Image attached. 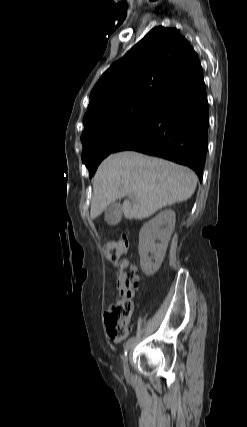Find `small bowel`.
Here are the masks:
<instances>
[{
	"label": "small bowel",
	"mask_w": 247,
	"mask_h": 427,
	"mask_svg": "<svg viewBox=\"0 0 247 427\" xmlns=\"http://www.w3.org/2000/svg\"><path fill=\"white\" fill-rule=\"evenodd\" d=\"M130 262L128 259H123L117 266V282L116 289L119 297H132L134 294V288L131 280L128 278L126 269Z\"/></svg>",
	"instance_id": "small-bowel-1"
}]
</instances>
